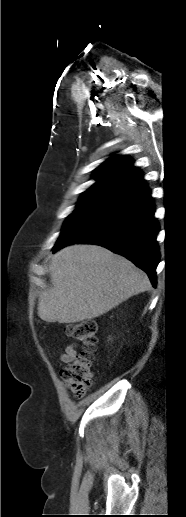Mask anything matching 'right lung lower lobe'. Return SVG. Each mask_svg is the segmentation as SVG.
Listing matches in <instances>:
<instances>
[{"label":"right lung lower lobe","instance_id":"obj_1","mask_svg":"<svg viewBox=\"0 0 186 517\" xmlns=\"http://www.w3.org/2000/svg\"><path fill=\"white\" fill-rule=\"evenodd\" d=\"M151 190L144 188L115 203L104 213L81 227L53 251L75 243L97 244L131 260L156 286V267L160 252L156 242L159 224L154 217Z\"/></svg>","mask_w":186,"mask_h":517}]
</instances>
